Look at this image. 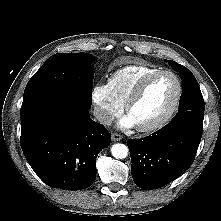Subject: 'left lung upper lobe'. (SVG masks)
<instances>
[{
  "mask_svg": "<svg viewBox=\"0 0 221 221\" xmlns=\"http://www.w3.org/2000/svg\"><path fill=\"white\" fill-rule=\"evenodd\" d=\"M168 63L177 71L183 80V92L179 102V112L196 111L204 113V100L194 75L184 66L175 61Z\"/></svg>",
  "mask_w": 221,
  "mask_h": 221,
  "instance_id": "left-lung-upper-lobe-1",
  "label": "left lung upper lobe"
}]
</instances>
